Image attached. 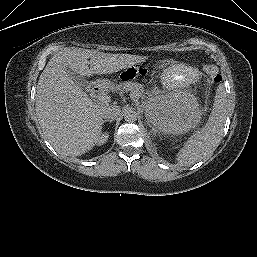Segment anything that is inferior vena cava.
Wrapping results in <instances>:
<instances>
[{"mask_svg":"<svg viewBox=\"0 0 257 257\" xmlns=\"http://www.w3.org/2000/svg\"><path fill=\"white\" fill-rule=\"evenodd\" d=\"M121 109L117 105H104L100 109V113L102 118L105 120H114L117 118V116L120 114Z\"/></svg>","mask_w":257,"mask_h":257,"instance_id":"1","label":"inferior vena cava"}]
</instances>
